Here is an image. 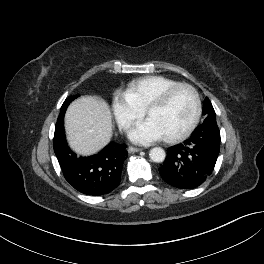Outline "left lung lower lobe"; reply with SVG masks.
<instances>
[{"mask_svg":"<svg viewBox=\"0 0 264 264\" xmlns=\"http://www.w3.org/2000/svg\"><path fill=\"white\" fill-rule=\"evenodd\" d=\"M220 151V131L214 121L203 122L182 144L168 149L162 178L180 189L200 186L212 173Z\"/></svg>","mask_w":264,"mask_h":264,"instance_id":"left-lung-lower-lobe-1","label":"left lung lower lobe"}]
</instances>
